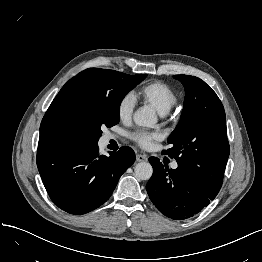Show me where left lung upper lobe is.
<instances>
[{
    "label": "left lung upper lobe",
    "mask_w": 262,
    "mask_h": 262,
    "mask_svg": "<svg viewBox=\"0 0 262 262\" xmlns=\"http://www.w3.org/2000/svg\"><path fill=\"white\" fill-rule=\"evenodd\" d=\"M185 87L181 120L168 138L173 147L163 153L200 186L217 195L229 157L224 107L216 93L201 79L174 75Z\"/></svg>",
    "instance_id": "left-lung-upper-lobe-1"
}]
</instances>
